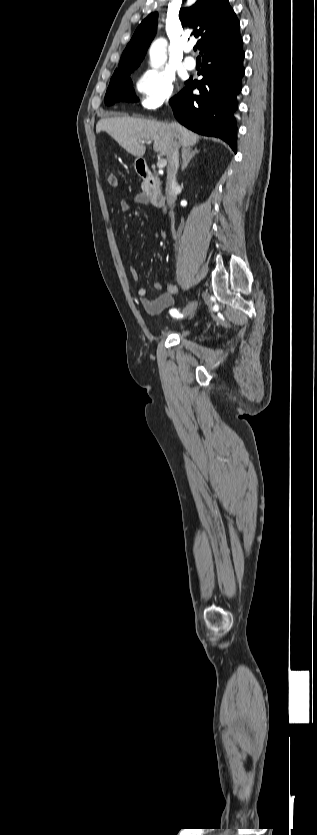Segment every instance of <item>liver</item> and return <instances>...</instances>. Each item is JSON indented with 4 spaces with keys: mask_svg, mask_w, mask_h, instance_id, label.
Instances as JSON below:
<instances>
[{
    "mask_svg": "<svg viewBox=\"0 0 317 835\" xmlns=\"http://www.w3.org/2000/svg\"><path fill=\"white\" fill-rule=\"evenodd\" d=\"M106 132L122 148L135 157H142L146 147L140 141H154V150L161 156H168L173 142L187 148L199 141V135L179 123H162L129 116L102 118L96 125V132Z\"/></svg>",
    "mask_w": 317,
    "mask_h": 835,
    "instance_id": "liver-1",
    "label": "liver"
}]
</instances>
